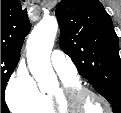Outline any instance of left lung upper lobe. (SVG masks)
<instances>
[{
  "label": "left lung upper lobe",
  "mask_w": 121,
  "mask_h": 113,
  "mask_svg": "<svg viewBox=\"0 0 121 113\" xmlns=\"http://www.w3.org/2000/svg\"><path fill=\"white\" fill-rule=\"evenodd\" d=\"M59 44L79 73L121 113V59L110 16L98 0H62Z\"/></svg>",
  "instance_id": "obj_1"
}]
</instances>
